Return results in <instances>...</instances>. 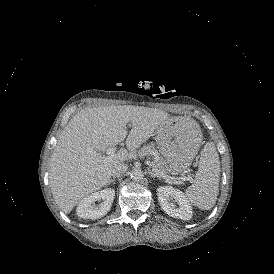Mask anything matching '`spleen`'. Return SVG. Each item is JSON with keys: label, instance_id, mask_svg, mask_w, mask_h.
Segmentation results:
<instances>
[{"label": "spleen", "instance_id": "spleen-1", "mask_svg": "<svg viewBox=\"0 0 274 274\" xmlns=\"http://www.w3.org/2000/svg\"><path fill=\"white\" fill-rule=\"evenodd\" d=\"M202 134H198V141L201 142ZM196 150V146L192 151ZM220 178V160L213 142H208L201 153L198 165V172L195 175L194 183L189 186L184 197L187 202L202 210L210 209L217 200Z\"/></svg>", "mask_w": 274, "mask_h": 274}]
</instances>
